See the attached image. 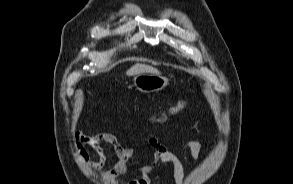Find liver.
<instances>
[{
    "mask_svg": "<svg viewBox=\"0 0 293 184\" xmlns=\"http://www.w3.org/2000/svg\"><path fill=\"white\" fill-rule=\"evenodd\" d=\"M141 73L159 74V71L156 68L151 67L149 65L137 63L126 72L128 76H135Z\"/></svg>",
    "mask_w": 293,
    "mask_h": 184,
    "instance_id": "1",
    "label": "liver"
}]
</instances>
